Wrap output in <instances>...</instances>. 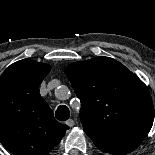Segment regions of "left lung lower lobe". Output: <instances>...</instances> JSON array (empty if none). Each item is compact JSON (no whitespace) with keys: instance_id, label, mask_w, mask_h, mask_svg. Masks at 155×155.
<instances>
[{"instance_id":"0a47b994","label":"left lung lower lobe","mask_w":155,"mask_h":155,"mask_svg":"<svg viewBox=\"0 0 155 155\" xmlns=\"http://www.w3.org/2000/svg\"><path fill=\"white\" fill-rule=\"evenodd\" d=\"M143 136H129L107 142H97L94 144L102 151L113 155H125L135 150L144 140Z\"/></svg>"}]
</instances>
